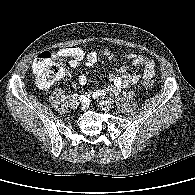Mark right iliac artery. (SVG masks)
Masks as SVG:
<instances>
[{
    "label": "right iliac artery",
    "mask_w": 195,
    "mask_h": 195,
    "mask_svg": "<svg viewBox=\"0 0 195 195\" xmlns=\"http://www.w3.org/2000/svg\"><path fill=\"white\" fill-rule=\"evenodd\" d=\"M77 97V95H73V98H76Z\"/></svg>",
    "instance_id": "1"
}]
</instances>
